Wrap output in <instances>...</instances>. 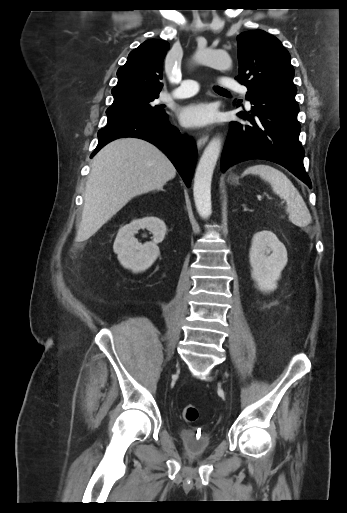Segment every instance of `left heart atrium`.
<instances>
[{
  "instance_id": "obj_1",
  "label": "left heart atrium",
  "mask_w": 347,
  "mask_h": 513,
  "mask_svg": "<svg viewBox=\"0 0 347 513\" xmlns=\"http://www.w3.org/2000/svg\"><path fill=\"white\" fill-rule=\"evenodd\" d=\"M214 117L210 104L196 102L185 106L180 112V122L188 128L202 127L209 124Z\"/></svg>"
}]
</instances>
